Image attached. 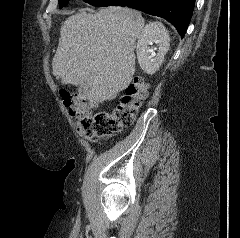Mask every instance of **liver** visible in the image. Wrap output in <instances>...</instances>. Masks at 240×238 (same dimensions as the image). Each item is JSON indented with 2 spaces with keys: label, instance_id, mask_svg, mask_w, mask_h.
Returning a JSON list of instances; mask_svg holds the SVG:
<instances>
[{
  "label": "liver",
  "instance_id": "1",
  "mask_svg": "<svg viewBox=\"0 0 240 238\" xmlns=\"http://www.w3.org/2000/svg\"><path fill=\"white\" fill-rule=\"evenodd\" d=\"M143 27L141 13L129 8L71 15L60 30L53 75L63 84L83 85L80 96L90 108L116 98L132 81L135 41Z\"/></svg>",
  "mask_w": 240,
  "mask_h": 238
}]
</instances>
